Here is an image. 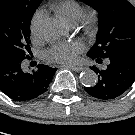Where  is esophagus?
I'll return each mask as SVG.
<instances>
[{"instance_id": "esophagus-1", "label": "esophagus", "mask_w": 135, "mask_h": 135, "mask_svg": "<svg viewBox=\"0 0 135 135\" xmlns=\"http://www.w3.org/2000/svg\"><path fill=\"white\" fill-rule=\"evenodd\" d=\"M64 67H66V66H64ZM69 68L76 72H80V71L84 70V67H82V66H71Z\"/></svg>"}]
</instances>
